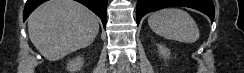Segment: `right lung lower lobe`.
<instances>
[{
	"label": "right lung lower lobe",
	"mask_w": 244,
	"mask_h": 73,
	"mask_svg": "<svg viewBox=\"0 0 244 73\" xmlns=\"http://www.w3.org/2000/svg\"><path fill=\"white\" fill-rule=\"evenodd\" d=\"M47 0H27L24 13H23V21L27 19V17L31 14V12L38 7L40 4ZM90 10H92L96 15L100 17L102 20L103 26H106V18H107V0H75Z\"/></svg>",
	"instance_id": "98d812e1"
}]
</instances>
